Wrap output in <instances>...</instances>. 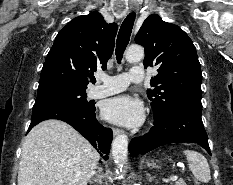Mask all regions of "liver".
<instances>
[{
    "label": "liver",
    "instance_id": "obj_1",
    "mask_svg": "<svg viewBox=\"0 0 233 185\" xmlns=\"http://www.w3.org/2000/svg\"><path fill=\"white\" fill-rule=\"evenodd\" d=\"M99 153L70 125L46 120L25 137L18 185H87Z\"/></svg>",
    "mask_w": 233,
    "mask_h": 185
}]
</instances>
